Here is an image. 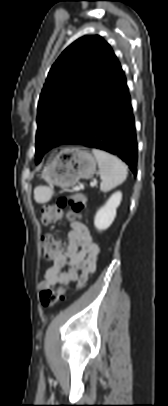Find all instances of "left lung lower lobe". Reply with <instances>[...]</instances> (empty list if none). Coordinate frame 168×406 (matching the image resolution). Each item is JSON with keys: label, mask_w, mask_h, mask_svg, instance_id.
<instances>
[{"label": "left lung lower lobe", "mask_w": 168, "mask_h": 406, "mask_svg": "<svg viewBox=\"0 0 168 406\" xmlns=\"http://www.w3.org/2000/svg\"><path fill=\"white\" fill-rule=\"evenodd\" d=\"M64 144L110 152L130 165L136 176L137 140L131 101L122 68L97 100L81 129Z\"/></svg>", "instance_id": "left-lung-lower-lobe-1"}]
</instances>
